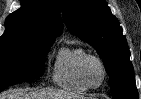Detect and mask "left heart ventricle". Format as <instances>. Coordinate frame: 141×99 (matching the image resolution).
<instances>
[{"label":"left heart ventricle","mask_w":141,"mask_h":99,"mask_svg":"<svg viewBox=\"0 0 141 99\" xmlns=\"http://www.w3.org/2000/svg\"><path fill=\"white\" fill-rule=\"evenodd\" d=\"M86 75L91 84L97 85L102 80V70L95 61H90L86 67Z\"/></svg>","instance_id":"obj_1"}]
</instances>
